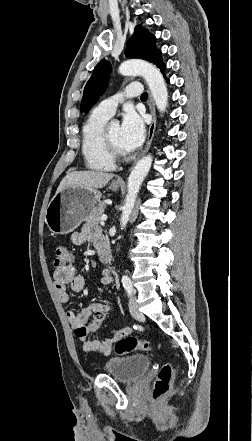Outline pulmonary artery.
I'll use <instances>...</instances> for the list:
<instances>
[{
  "mask_svg": "<svg viewBox=\"0 0 252 441\" xmlns=\"http://www.w3.org/2000/svg\"><path fill=\"white\" fill-rule=\"evenodd\" d=\"M143 92V87L139 83H134L128 85L124 90H122L120 93L105 99L101 103L98 104V106L95 108V110L103 114L107 117H111L118 106V104L124 99V98H133V97H139L141 96Z\"/></svg>",
  "mask_w": 252,
  "mask_h": 441,
  "instance_id": "pulmonary-artery-1",
  "label": "pulmonary artery"
}]
</instances>
